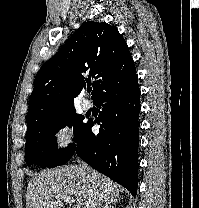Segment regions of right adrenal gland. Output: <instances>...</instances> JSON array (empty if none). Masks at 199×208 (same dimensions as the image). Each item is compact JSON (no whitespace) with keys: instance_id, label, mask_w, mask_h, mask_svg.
Wrapping results in <instances>:
<instances>
[{"instance_id":"2a0ac1e0","label":"right adrenal gland","mask_w":199,"mask_h":208,"mask_svg":"<svg viewBox=\"0 0 199 208\" xmlns=\"http://www.w3.org/2000/svg\"><path fill=\"white\" fill-rule=\"evenodd\" d=\"M118 201H113V202H105L104 206L102 208H116V204Z\"/></svg>"}]
</instances>
